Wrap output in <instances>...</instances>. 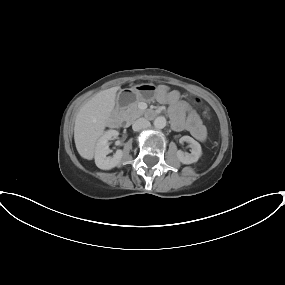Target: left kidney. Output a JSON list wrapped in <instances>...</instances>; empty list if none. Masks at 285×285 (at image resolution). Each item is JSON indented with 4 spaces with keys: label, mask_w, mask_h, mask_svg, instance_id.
Listing matches in <instances>:
<instances>
[{
    "label": "left kidney",
    "mask_w": 285,
    "mask_h": 285,
    "mask_svg": "<svg viewBox=\"0 0 285 285\" xmlns=\"http://www.w3.org/2000/svg\"><path fill=\"white\" fill-rule=\"evenodd\" d=\"M179 141L180 143H189L191 147V153H184L181 150L177 151L178 160L183 164H192L197 162L202 155L201 145L190 136H183Z\"/></svg>",
    "instance_id": "1"
}]
</instances>
